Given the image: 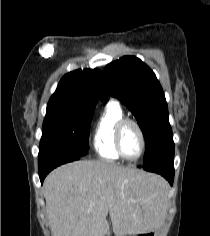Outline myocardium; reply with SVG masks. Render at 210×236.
<instances>
[{"label":"myocardium","mask_w":210,"mask_h":236,"mask_svg":"<svg viewBox=\"0 0 210 236\" xmlns=\"http://www.w3.org/2000/svg\"><path fill=\"white\" fill-rule=\"evenodd\" d=\"M128 124L133 125L137 129L139 136H140V140H141V148H140L139 154L134 158L126 157L125 154L123 153L122 145H121L122 132H123L125 126ZM114 142H115L116 151L119 154V156L122 159L129 161V162H134V161L139 160L141 158V156L143 155L145 148H146V138H145V134L143 132L142 127L140 126V124L137 121L130 119V118H123L117 123L116 129H115Z\"/></svg>","instance_id":"f54148a6"}]
</instances>
